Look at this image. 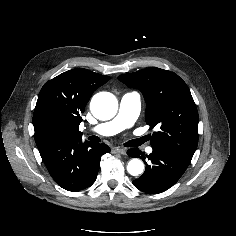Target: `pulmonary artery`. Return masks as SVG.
I'll list each match as a JSON object with an SVG mask.
<instances>
[{
  "instance_id": "1",
  "label": "pulmonary artery",
  "mask_w": 236,
  "mask_h": 236,
  "mask_svg": "<svg viewBox=\"0 0 236 236\" xmlns=\"http://www.w3.org/2000/svg\"><path fill=\"white\" fill-rule=\"evenodd\" d=\"M141 109V95L139 92L125 93L119 105L117 115L110 121L100 123L90 129L98 135L110 136L130 128L137 120ZM147 153H152L153 149L148 147Z\"/></svg>"
}]
</instances>
